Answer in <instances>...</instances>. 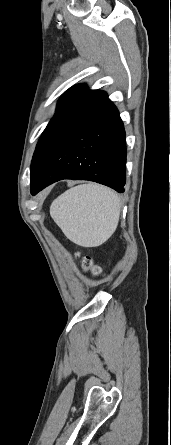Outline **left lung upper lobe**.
<instances>
[{
    "mask_svg": "<svg viewBox=\"0 0 171 445\" xmlns=\"http://www.w3.org/2000/svg\"><path fill=\"white\" fill-rule=\"evenodd\" d=\"M107 98V93L89 90L84 84L68 90L59 100L57 110L42 133L31 163L30 180L67 131L92 108Z\"/></svg>",
    "mask_w": 171,
    "mask_h": 445,
    "instance_id": "left-lung-upper-lobe-1",
    "label": "left lung upper lobe"
}]
</instances>
